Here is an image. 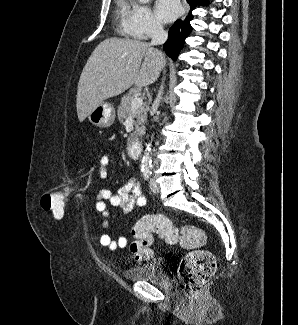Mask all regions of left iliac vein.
I'll return each mask as SVG.
<instances>
[{"instance_id": "left-iliac-vein-1", "label": "left iliac vein", "mask_w": 298, "mask_h": 325, "mask_svg": "<svg viewBox=\"0 0 298 325\" xmlns=\"http://www.w3.org/2000/svg\"><path fill=\"white\" fill-rule=\"evenodd\" d=\"M150 189H151V191H152L153 193H157V192H158V185H157V183H156V181H155L154 178H152V179L150 180Z\"/></svg>"}]
</instances>
